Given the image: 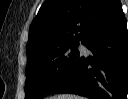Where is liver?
Returning a JSON list of instances; mask_svg holds the SVG:
<instances>
[{
    "instance_id": "obj_1",
    "label": "liver",
    "mask_w": 128,
    "mask_h": 99,
    "mask_svg": "<svg viewBox=\"0 0 128 99\" xmlns=\"http://www.w3.org/2000/svg\"><path fill=\"white\" fill-rule=\"evenodd\" d=\"M51 99H84V98L76 95L63 94V95L54 96Z\"/></svg>"
}]
</instances>
